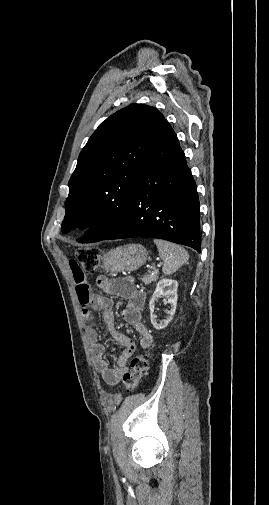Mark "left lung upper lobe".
I'll list each match as a JSON object with an SVG mask.
<instances>
[{"instance_id": "5c2ea615", "label": "left lung upper lobe", "mask_w": 269, "mask_h": 505, "mask_svg": "<svg viewBox=\"0 0 269 505\" xmlns=\"http://www.w3.org/2000/svg\"><path fill=\"white\" fill-rule=\"evenodd\" d=\"M164 119L154 107L131 104L99 125L68 182L63 233L89 227L78 241L96 242L121 223Z\"/></svg>"}]
</instances>
